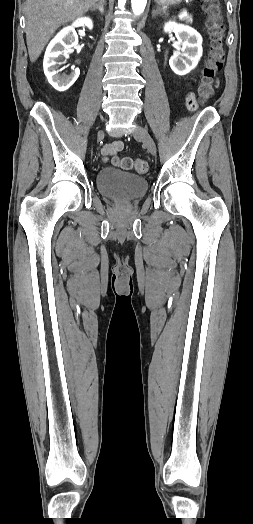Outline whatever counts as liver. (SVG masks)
Masks as SVG:
<instances>
[{
    "mask_svg": "<svg viewBox=\"0 0 253 524\" xmlns=\"http://www.w3.org/2000/svg\"><path fill=\"white\" fill-rule=\"evenodd\" d=\"M99 0H27L26 41L30 61L35 62L54 32L82 16Z\"/></svg>",
    "mask_w": 253,
    "mask_h": 524,
    "instance_id": "1",
    "label": "liver"
}]
</instances>
